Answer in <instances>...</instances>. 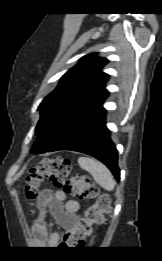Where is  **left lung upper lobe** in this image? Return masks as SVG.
Returning <instances> with one entry per match:
<instances>
[{
	"label": "left lung upper lobe",
	"mask_w": 162,
	"mask_h": 261,
	"mask_svg": "<svg viewBox=\"0 0 162 261\" xmlns=\"http://www.w3.org/2000/svg\"><path fill=\"white\" fill-rule=\"evenodd\" d=\"M108 60L86 55L67 71L57 88L41 102L40 120L36 127L39 139L34 144L42 153L94 117L103 109L109 92L105 88L108 75L102 71Z\"/></svg>",
	"instance_id": "5c2ea615"
}]
</instances>
